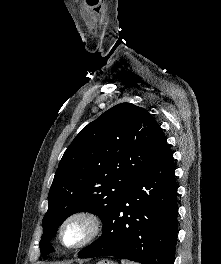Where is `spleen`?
<instances>
[{"mask_svg":"<svg viewBox=\"0 0 221 264\" xmlns=\"http://www.w3.org/2000/svg\"><path fill=\"white\" fill-rule=\"evenodd\" d=\"M121 264H138V263L129 262V261H126V260H121Z\"/></svg>","mask_w":221,"mask_h":264,"instance_id":"1","label":"spleen"}]
</instances>
